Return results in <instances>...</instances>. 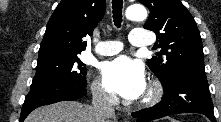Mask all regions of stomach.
Segmentation results:
<instances>
[{
  "label": "stomach",
  "instance_id": "obj_1",
  "mask_svg": "<svg viewBox=\"0 0 221 122\" xmlns=\"http://www.w3.org/2000/svg\"><path fill=\"white\" fill-rule=\"evenodd\" d=\"M172 122H176L175 120H171Z\"/></svg>",
  "mask_w": 221,
  "mask_h": 122
}]
</instances>
